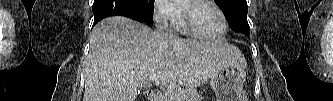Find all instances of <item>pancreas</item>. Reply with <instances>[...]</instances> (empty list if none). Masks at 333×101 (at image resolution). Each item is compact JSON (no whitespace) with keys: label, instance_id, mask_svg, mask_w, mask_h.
<instances>
[{"label":"pancreas","instance_id":"obj_1","mask_svg":"<svg viewBox=\"0 0 333 101\" xmlns=\"http://www.w3.org/2000/svg\"><path fill=\"white\" fill-rule=\"evenodd\" d=\"M182 92V93H180ZM164 101H202V96L193 88H187L183 91L176 90L164 95Z\"/></svg>","mask_w":333,"mask_h":101}]
</instances>
